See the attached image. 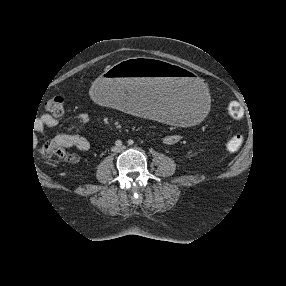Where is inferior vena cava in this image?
Wrapping results in <instances>:
<instances>
[{"mask_svg":"<svg viewBox=\"0 0 286 286\" xmlns=\"http://www.w3.org/2000/svg\"><path fill=\"white\" fill-rule=\"evenodd\" d=\"M114 150L116 151V150H118V148H114Z\"/></svg>","mask_w":286,"mask_h":286,"instance_id":"obj_1","label":"inferior vena cava"}]
</instances>
